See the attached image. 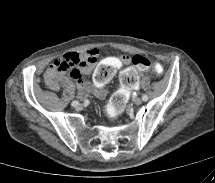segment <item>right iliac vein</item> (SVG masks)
Wrapping results in <instances>:
<instances>
[{
	"mask_svg": "<svg viewBox=\"0 0 215 183\" xmlns=\"http://www.w3.org/2000/svg\"><path fill=\"white\" fill-rule=\"evenodd\" d=\"M76 110H81L82 109V105L78 104L77 106H75Z\"/></svg>",
	"mask_w": 215,
	"mask_h": 183,
	"instance_id": "right-iliac-vein-1",
	"label": "right iliac vein"
}]
</instances>
